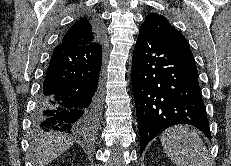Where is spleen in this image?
Masks as SVG:
<instances>
[{"label":"spleen","instance_id":"1","mask_svg":"<svg viewBox=\"0 0 231 166\" xmlns=\"http://www.w3.org/2000/svg\"><path fill=\"white\" fill-rule=\"evenodd\" d=\"M160 140L176 166H211L207 148L199 133L190 126L171 127L161 134Z\"/></svg>","mask_w":231,"mask_h":166}]
</instances>
